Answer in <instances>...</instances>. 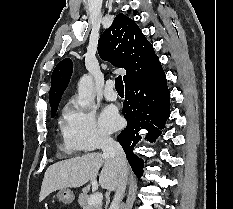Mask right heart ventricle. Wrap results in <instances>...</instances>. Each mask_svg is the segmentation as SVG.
I'll return each instance as SVG.
<instances>
[{
    "label": "right heart ventricle",
    "instance_id": "obj_1",
    "mask_svg": "<svg viewBox=\"0 0 233 209\" xmlns=\"http://www.w3.org/2000/svg\"><path fill=\"white\" fill-rule=\"evenodd\" d=\"M65 150H66L67 152H72V151H74V149L71 148V147H70L69 145H67V144H66Z\"/></svg>",
    "mask_w": 233,
    "mask_h": 209
}]
</instances>
